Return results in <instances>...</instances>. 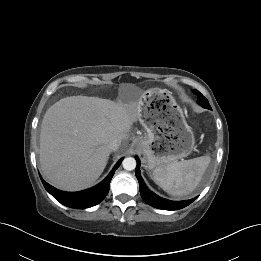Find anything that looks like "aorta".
<instances>
[{"mask_svg":"<svg viewBox=\"0 0 261 261\" xmlns=\"http://www.w3.org/2000/svg\"><path fill=\"white\" fill-rule=\"evenodd\" d=\"M122 166L125 170L131 171L136 167V160L132 157H127L123 160Z\"/></svg>","mask_w":261,"mask_h":261,"instance_id":"obj_1","label":"aorta"}]
</instances>
